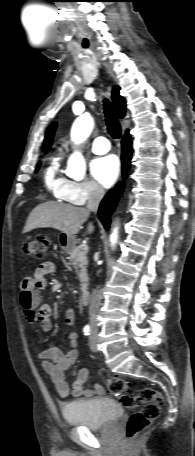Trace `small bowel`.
Masks as SVG:
<instances>
[{
  "label": "small bowel",
  "instance_id": "obj_1",
  "mask_svg": "<svg viewBox=\"0 0 195 456\" xmlns=\"http://www.w3.org/2000/svg\"><path fill=\"white\" fill-rule=\"evenodd\" d=\"M55 266L52 262L47 261L40 264L33 276L24 277L19 284L20 304L24 310L26 319L31 324H39L40 328L48 332L52 328L51 308L48 304H41L37 289H43L46 286V277L52 274ZM67 325H72L74 314L68 310L65 318ZM78 334L75 331L68 333L69 347L62 351L56 346H49L39 354L44 371L49 375L57 395L65 399L70 393L74 397H94L101 396L105 390L100 384H96L92 389L84 388L88 380V370L83 368L77 373V376L70 389L65 381L66 370L73 365L78 357L77 351Z\"/></svg>",
  "mask_w": 195,
  "mask_h": 456
}]
</instances>
